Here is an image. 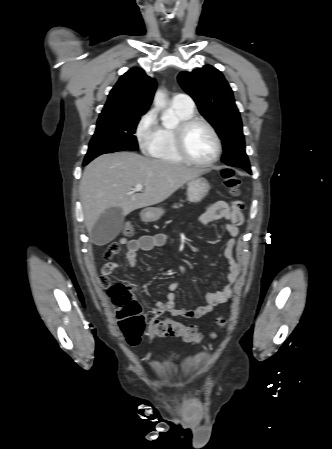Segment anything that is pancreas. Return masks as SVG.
<instances>
[{
    "mask_svg": "<svg viewBox=\"0 0 332 449\" xmlns=\"http://www.w3.org/2000/svg\"><path fill=\"white\" fill-rule=\"evenodd\" d=\"M181 206H182L181 204H180L179 206L175 204V205L173 206V208H178V207H181Z\"/></svg>",
    "mask_w": 332,
    "mask_h": 449,
    "instance_id": "1",
    "label": "pancreas"
}]
</instances>
